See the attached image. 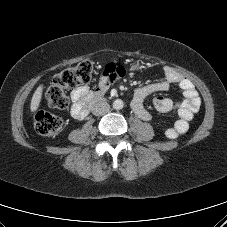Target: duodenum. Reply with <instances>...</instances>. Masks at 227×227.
<instances>
[{
    "label": "duodenum",
    "instance_id": "1",
    "mask_svg": "<svg viewBox=\"0 0 227 227\" xmlns=\"http://www.w3.org/2000/svg\"><path fill=\"white\" fill-rule=\"evenodd\" d=\"M102 96L101 95H93L92 97L89 98V100L86 103L85 107V112L86 114L88 113L89 109L94 106L95 104L99 103L102 101Z\"/></svg>",
    "mask_w": 227,
    "mask_h": 227
}]
</instances>
